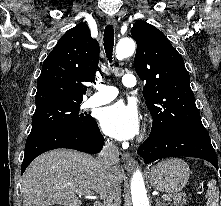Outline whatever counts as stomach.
<instances>
[{
	"label": "stomach",
	"mask_w": 221,
	"mask_h": 206,
	"mask_svg": "<svg viewBox=\"0 0 221 206\" xmlns=\"http://www.w3.org/2000/svg\"><path fill=\"white\" fill-rule=\"evenodd\" d=\"M190 175L187 163L178 158L166 159L151 168V186L162 192L176 193L183 189Z\"/></svg>",
	"instance_id": "stomach-1"
}]
</instances>
